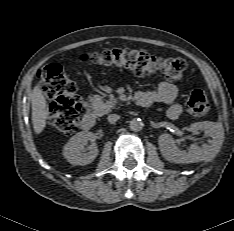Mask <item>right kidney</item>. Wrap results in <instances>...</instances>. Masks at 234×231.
Segmentation results:
<instances>
[{"label": "right kidney", "instance_id": "obj_1", "mask_svg": "<svg viewBox=\"0 0 234 231\" xmlns=\"http://www.w3.org/2000/svg\"><path fill=\"white\" fill-rule=\"evenodd\" d=\"M96 136L91 132L81 131L70 138L63 147V155L72 165H87L91 163L98 155V148L95 144ZM92 142L86 152L83 144Z\"/></svg>", "mask_w": 234, "mask_h": 231}]
</instances>
